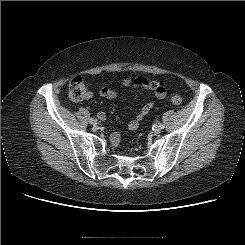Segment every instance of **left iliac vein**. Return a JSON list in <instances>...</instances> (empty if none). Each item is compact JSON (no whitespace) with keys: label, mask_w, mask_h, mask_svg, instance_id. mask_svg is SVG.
<instances>
[{"label":"left iliac vein","mask_w":245,"mask_h":245,"mask_svg":"<svg viewBox=\"0 0 245 245\" xmlns=\"http://www.w3.org/2000/svg\"><path fill=\"white\" fill-rule=\"evenodd\" d=\"M161 127L160 126H157V127H155V129H154V133L155 134H159L160 132H161Z\"/></svg>","instance_id":"obj_1"}]
</instances>
